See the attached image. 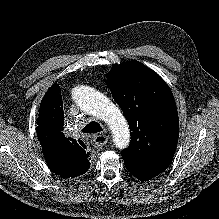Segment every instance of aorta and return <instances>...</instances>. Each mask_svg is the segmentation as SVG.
<instances>
[{
  "instance_id": "aorta-1",
  "label": "aorta",
  "mask_w": 219,
  "mask_h": 219,
  "mask_svg": "<svg viewBox=\"0 0 219 219\" xmlns=\"http://www.w3.org/2000/svg\"><path fill=\"white\" fill-rule=\"evenodd\" d=\"M72 99L84 111L104 121L112 132L116 147L124 149L130 142L128 123L120 109L96 89L80 85L72 90Z\"/></svg>"
}]
</instances>
